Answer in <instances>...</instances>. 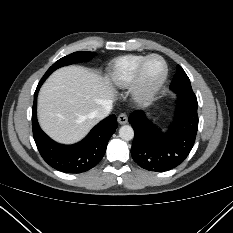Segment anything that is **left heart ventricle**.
I'll use <instances>...</instances> for the list:
<instances>
[{
	"label": "left heart ventricle",
	"mask_w": 233,
	"mask_h": 233,
	"mask_svg": "<svg viewBox=\"0 0 233 233\" xmlns=\"http://www.w3.org/2000/svg\"><path fill=\"white\" fill-rule=\"evenodd\" d=\"M164 72V65L158 58H152L146 65L144 71V79L148 83H154L158 81Z\"/></svg>",
	"instance_id": "left-heart-ventricle-1"
}]
</instances>
